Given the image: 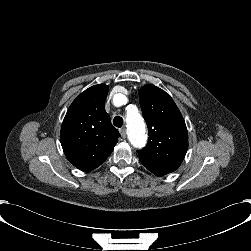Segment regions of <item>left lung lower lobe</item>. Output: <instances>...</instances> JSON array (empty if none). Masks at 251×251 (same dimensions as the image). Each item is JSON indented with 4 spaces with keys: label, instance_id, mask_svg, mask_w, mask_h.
<instances>
[{
    "label": "left lung lower lobe",
    "instance_id": "0a47b994",
    "mask_svg": "<svg viewBox=\"0 0 251 251\" xmlns=\"http://www.w3.org/2000/svg\"><path fill=\"white\" fill-rule=\"evenodd\" d=\"M149 171H151L152 173H154L156 176H164L166 174H168L169 172L167 171H164V170H159V169H156L155 167H152V166H148V165H145L143 164Z\"/></svg>",
    "mask_w": 251,
    "mask_h": 251
}]
</instances>
